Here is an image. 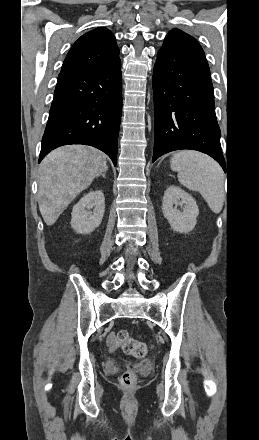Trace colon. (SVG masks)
I'll return each mask as SVG.
<instances>
[{"label": "colon", "instance_id": "obj_1", "mask_svg": "<svg viewBox=\"0 0 259 440\" xmlns=\"http://www.w3.org/2000/svg\"><path fill=\"white\" fill-rule=\"evenodd\" d=\"M117 344L126 353L136 358H143L149 352V345L134 339L127 330H120L116 335ZM136 373L128 369L120 377V385L123 388L131 387L136 381Z\"/></svg>", "mask_w": 259, "mask_h": 440}]
</instances>
